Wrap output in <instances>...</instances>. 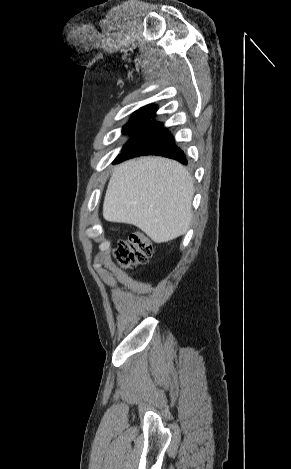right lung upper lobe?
<instances>
[{"mask_svg": "<svg viewBox=\"0 0 291 469\" xmlns=\"http://www.w3.org/2000/svg\"><path fill=\"white\" fill-rule=\"evenodd\" d=\"M157 111V107L155 105H148L145 107L140 108L135 114H142V115H149L154 117Z\"/></svg>", "mask_w": 291, "mask_h": 469, "instance_id": "right-lung-upper-lobe-1", "label": "right lung upper lobe"}]
</instances>
